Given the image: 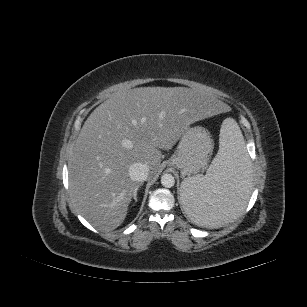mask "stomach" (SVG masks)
<instances>
[{
    "mask_svg": "<svg viewBox=\"0 0 307 307\" xmlns=\"http://www.w3.org/2000/svg\"><path fill=\"white\" fill-rule=\"evenodd\" d=\"M212 150L209 131L200 125L191 126L183 132L168 164L180 169L183 177L198 174L207 168Z\"/></svg>",
    "mask_w": 307,
    "mask_h": 307,
    "instance_id": "0dacf381",
    "label": "stomach"
}]
</instances>
